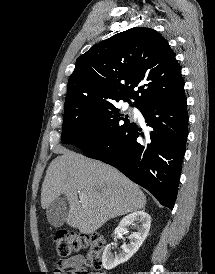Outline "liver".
<instances>
[{
  "mask_svg": "<svg viewBox=\"0 0 215 274\" xmlns=\"http://www.w3.org/2000/svg\"><path fill=\"white\" fill-rule=\"evenodd\" d=\"M49 165L41 189V206L46 209L64 195L69 203L66 223L81 233L91 234L109 219L146 205L144 193L117 169L81 154L61 149ZM86 199H78V193Z\"/></svg>",
  "mask_w": 215,
  "mask_h": 274,
  "instance_id": "6515ba94",
  "label": "liver"
}]
</instances>
